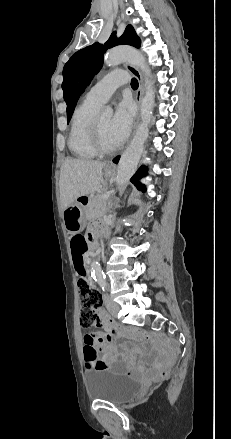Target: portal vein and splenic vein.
I'll list each match as a JSON object with an SVG mask.
<instances>
[{
    "mask_svg": "<svg viewBox=\"0 0 231 439\" xmlns=\"http://www.w3.org/2000/svg\"><path fill=\"white\" fill-rule=\"evenodd\" d=\"M108 197H109V195L105 194V195L102 196V199H107Z\"/></svg>",
    "mask_w": 231,
    "mask_h": 439,
    "instance_id": "obj_1",
    "label": "portal vein and splenic vein"
}]
</instances>
